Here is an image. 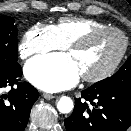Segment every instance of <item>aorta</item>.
Instances as JSON below:
<instances>
[{
    "mask_svg": "<svg viewBox=\"0 0 131 131\" xmlns=\"http://www.w3.org/2000/svg\"><path fill=\"white\" fill-rule=\"evenodd\" d=\"M74 104L70 97L62 96L57 102V109L63 114L70 113L73 110Z\"/></svg>",
    "mask_w": 131,
    "mask_h": 131,
    "instance_id": "aorta-1",
    "label": "aorta"
}]
</instances>
